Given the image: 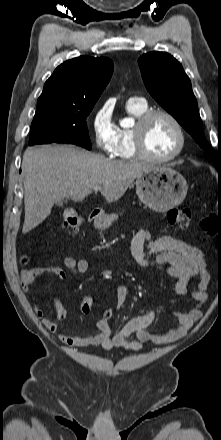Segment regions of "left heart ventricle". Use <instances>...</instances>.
<instances>
[{
  "instance_id": "left-heart-ventricle-1",
  "label": "left heart ventricle",
  "mask_w": 221,
  "mask_h": 440,
  "mask_svg": "<svg viewBox=\"0 0 221 440\" xmlns=\"http://www.w3.org/2000/svg\"><path fill=\"white\" fill-rule=\"evenodd\" d=\"M144 142L150 154L166 157L172 154L178 145V134L174 125L164 116L149 121L144 133Z\"/></svg>"
}]
</instances>
